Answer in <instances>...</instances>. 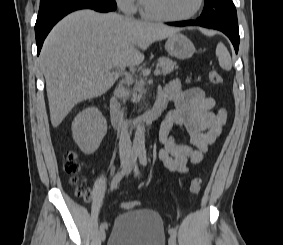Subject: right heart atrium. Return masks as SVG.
<instances>
[{
	"instance_id": "1",
	"label": "right heart atrium",
	"mask_w": 283,
	"mask_h": 245,
	"mask_svg": "<svg viewBox=\"0 0 283 245\" xmlns=\"http://www.w3.org/2000/svg\"><path fill=\"white\" fill-rule=\"evenodd\" d=\"M118 7L126 14H132L136 11V0H115Z\"/></svg>"
}]
</instances>
